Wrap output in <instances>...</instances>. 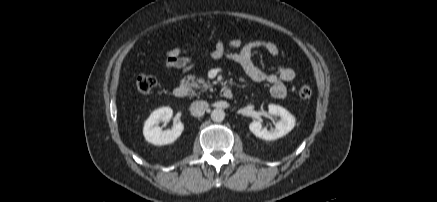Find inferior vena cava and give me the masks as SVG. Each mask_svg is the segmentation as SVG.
I'll return each instance as SVG.
<instances>
[{"instance_id": "obj_1", "label": "inferior vena cava", "mask_w": 437, "mask_h": 202, "mask_svg": "<svg viewBox=\"0 0 437 202\" xmlns=\"http://www.w3.org/2000/svg\"><path fill=\"white\" fill-rule=\"evenodd\" d=\"M209 104L206 101H194L191 104L190 110L191 113L195 116H202L205 111L208 109Z\"/></svg>"}]
</instances>
